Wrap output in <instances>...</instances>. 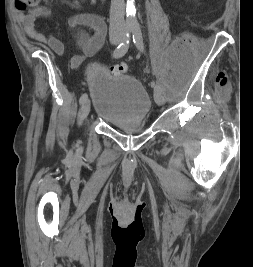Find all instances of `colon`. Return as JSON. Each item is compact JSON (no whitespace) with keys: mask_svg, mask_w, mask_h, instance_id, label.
<instances>
[{"mask_svg":"<svg viewBox=\"0 0 253 267\" xmlns=\"http://www.w3.org/2000/svg\"><path fill=\"white\" fill-rule=\"evenodd\" d=\"M38 2L39 0H16L15 5L18 9L25 10L37 6ZM111 69L115 74H124L127 71V65L121 62L115 64Z\"/></svg>","mask_w":253,"mask_h":267,"instance_id":"1","label":"colon"}]
</instances>
